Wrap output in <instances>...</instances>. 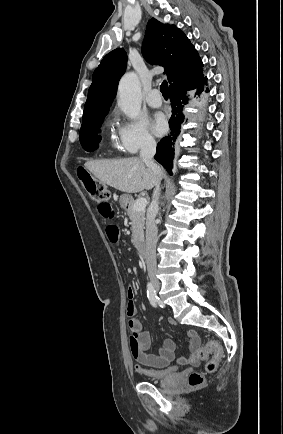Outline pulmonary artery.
I'll list each match as a JSON object with an SVG mask.
<instances>
[{"label":"pulmonary artery","instance_id":"e3ab8cb5","mask_svg":"<svg viewBox=\"0 0 283 434\" xmlns=\"http://www.w3.org/2000/svg\"><path fill=\"white\" fill-rule=\"evenodd\" d=\"M147 104L150 107L158 108L162 105V98L160 96V93L157 89H153L150 91L146 98Z\"/></svg>","mask_w":283,"mask_h":434}]
</instances>
